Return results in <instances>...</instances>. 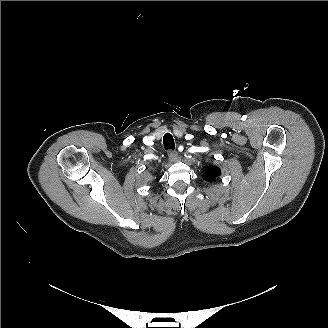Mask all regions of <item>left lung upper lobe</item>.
Masks as SVG:
<instances>
[{"label": "left lung upper lobe", "instance_id": "5c2ea615", "mask_svg": "<svg viewBox=\"0 0 328 328\" xmlns=\"http://www.w3.org/2000/svg\"><path fill=\"white\" fill-rule=\"evenodd\" d=\"M220 175H221L220 168L216 166H210L209 169L203 175V179L207 182H213Z\"/></svg>", "mask_w": 328, "mask_h": 328}]
</instances>
